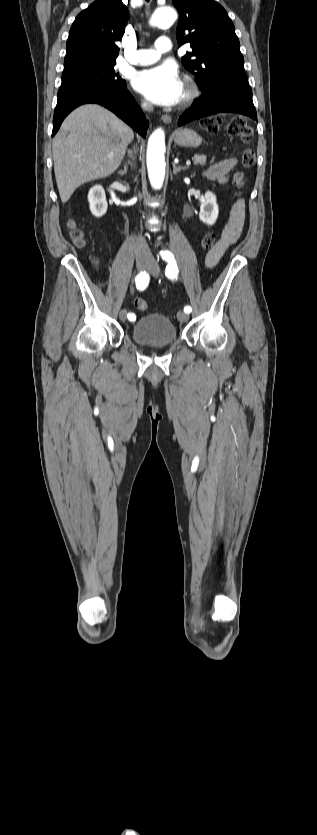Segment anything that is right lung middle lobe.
Segmentation results:
<instances>
[{
    "label": "right lung middle lobe",
    "instance_id": "1",
    "mask_svg": "<svg viewBox=\"0 0 317 835\" xmlns=\"http://www.w3.org/2000/svg\"><path fill=\"white\" fill-rule=\"evenodd\" d=\"M114 65L115 62L93 59L65 61L58 96L99 85L125 87L126 82L115 73Z\"/></svg>",
    "mask_w": 317,
    "mask_h": 835
}]
</instances>
